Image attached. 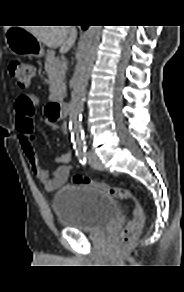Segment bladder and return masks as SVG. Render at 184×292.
<instances>
[{
  "mask_svg": "<svg viewBox=\"0 0 184 292\" xmlns=\"http://www.w3.org/2000/svg\"><path fill=\"white\" fill-rule=\"evenodd\" d=\"M53 211L61 226L85 233H99L118 217V203L111 194L92 185H64L55 194Z\"/></svg>",
  "mask_w": 184,
  "mask_h": 292,
  "instance_id": "obj_1",
  "label": "bladder"
}]
</instances>
